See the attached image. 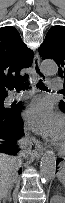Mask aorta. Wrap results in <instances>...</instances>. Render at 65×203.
Segmentation results:
<instances>
[{
    "label": "aorta",
    "mask_w": 65,
    "mask_h": 203,
    "mask_svg": "<svg viewBox=\"0 0 65 203\" xmlns=\"http://www.w3.org/2000/svg\"><path fill=\"white\" fill-rule=\"evenodd\" d=\"M41 71L46 75H55L58 66L53 60H44L41 63ZM56 156L52 150H47L40 160V177L42 182H50L55 177Z\"/></svg>",
    "instance_id": "762f6f07"
}]
</instances>
